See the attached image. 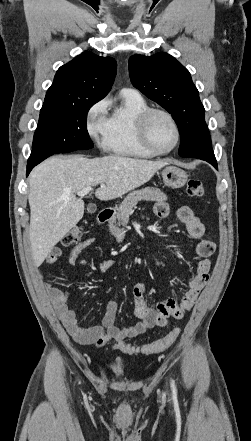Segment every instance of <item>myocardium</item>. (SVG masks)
<instances>
[{
	"label": "myocardium",
	"instance_id": "1",
	"mask_svg": "<svg viewBox=\"0 0 251 441\" xmlns=\"http://www.w3.org/2000/svg\"><path fill=\"white\" fill-rule=\"evenodd\" d=\"M155 114H162L165 117L168 118V120L171 122L174 131H175V142L174 145L169 148L168 150H159L157 149L151 142L150 140V135H149V124L150 121L152 119V117ZM137 129H138V135L140 138L141 143L143 144V146L149 150L151 153H153L154 155H166L171 153L172 151H174L177 146L180 143V139H181V132H180V128L179 125L176 121V119L174 118V116L167 110L165 109H161V108H149L146 111H144L138 118V122H137Z\"/></svg>",
	"mask_w": 251,
	"mask_h": 441
}]
</instances>
